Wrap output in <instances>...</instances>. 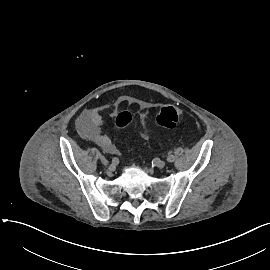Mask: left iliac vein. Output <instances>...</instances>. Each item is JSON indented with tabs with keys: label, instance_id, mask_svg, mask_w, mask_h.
Instances as JSON below:
<instances>
[{
	"label": "left iliac vein",
	"instance_id": "1",
	"mask_svg": "<svg viewBox=\"0 0 270 270\" xmlns=\"http://www.w3.org/2000/svg\"><path fill=\"white\" fill-rule=\"evenodd\" d=\"M165 165H166V162H165V161H159V162L157 163V167L160 168V169L164 168Z\"/></svg>",
	"mask_w": 270,
	"mask_h": 270
}]
</instances>
